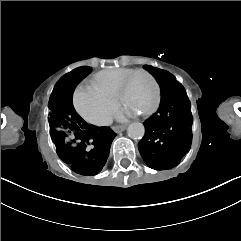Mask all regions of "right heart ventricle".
<instances>
[{
    "mask_svg": "<svg viewBox=\"0 0 241 241\" xmlns=\"http://www.w3.org/2000/svg\"><path fill=\"white\" fill-rule=\"evenodd\" d=\"M130 70L133 69L117 67L106 68L86 78L82 82V85L87 87L89 84H94L99 87L101 92H109L113 97V95L116 94V86L119 83L120 79ZM111 98L107 97V99Z\"/></svg>",
    "mask_w": 241,
    "mask_h": 241,
    "instance_id": "obj_1",
    "label": "right heart ventricle"
}]
</instances>
